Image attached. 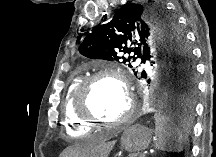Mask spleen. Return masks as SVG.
I'll list each match as a JSON object with an SVG mask.
<instances>
[{"instance_id":"spleen-1","label":"spleen","mask_w":216,"mask_h":157,"mask_svg":"<svg viewBox=\"0 0 216 157\" xmlns=\"http://www.w3.org/2000/svg\"><path fill=\"white\" fill-rule=\"evenodd\" d=\"M154 146L160 151L181 152L183 150L184 134L175 127L167 116L155 114Z\"/></svg>"}]
</instances>
